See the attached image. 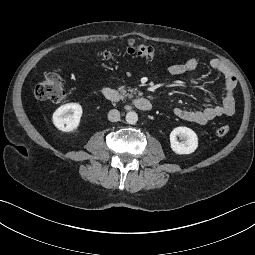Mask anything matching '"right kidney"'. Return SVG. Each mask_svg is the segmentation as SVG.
I'll return each instance as SVG.
<instances>
[{"mask_svg":"<svg viewBox=\"0 0 255 255\" xmlns=\"http://www.w3.org/2000/svg\"><path fill=\"white\" fill-rule=\"evenodd\" d=\"M82 113L81 105L68 103L60 106L53 113L52 122L62 132H73L79 126Z\"/></svg>","mask_w":255,"mask_h":255,"instance_id":"ca27d5eb","label":"right kidney"}]
</instances>
